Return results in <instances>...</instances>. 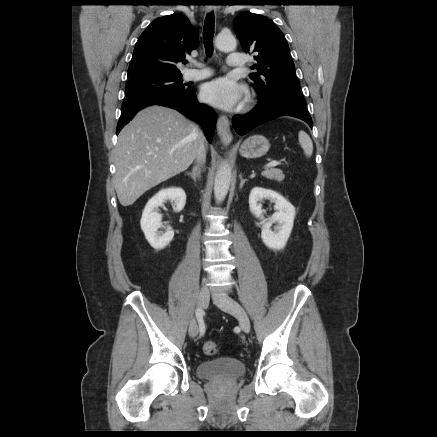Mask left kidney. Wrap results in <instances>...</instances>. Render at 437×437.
I'll list each match as a JSON object with an SVG mask.
<instances>
[{
    "label": "left kidney",
    "mask_w": 437,
    "mask_h": 437,
    "mask_svg": "<svg viewBox=\"0 0 437 437\" xmlns=\"http://www.w3.org/2000/svg\"><path fill=\"white\" fill-rule=\"evenodd\" d=\"M263 199L275 203L276 212L265 219L262 214ZM249 208L251 213L262 225L261 238L263 243L270 249L281 250L285 247L291 234L294 218L296 215L294 206L279 193L261 187H254L249 195ZM277 223L272 231V224Z\"/></svg>",
    "instance_id": "1"
}]
</instances>
